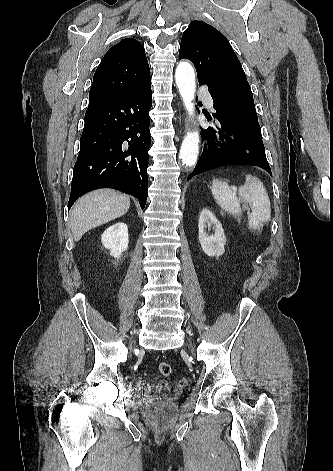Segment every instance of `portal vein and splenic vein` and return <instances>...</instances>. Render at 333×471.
I'll return each mask as SVG.
<instances>
[{
    "mask_svg": "<svg viewBox=\"0 0 333 471\" xmlns=\"http://www.w3.org/2000/svg\"><path fill=\"white\" fill-rule=\"evenodd\" d=\"M244 208H245V209H248V207H247V206H244Z\"/></svg>",
    "mask_w": 333,
    "mask_h": 471,
    "instance_id": "1",
    "label": "portal vein and splenic vein"
}]
</instances>
